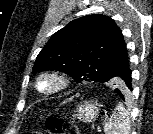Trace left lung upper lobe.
Instances as JSON below:
<instances>
[{"label":"left lung upper lobe","mask_w":153,"mask_h":134,"mask_svg":"<svg viewBox=\"0 0 153 134\" xmlns=\"http://www.w3.org/2000/svg\"><path fill=\"white\" fill-rule=\"evenodd\" d=\"M128 64L126 44L114 20L88 15L52 35L38 54L33 72L58 70L77 82L108 83L127 93L117 72Z\"/></svg>","instance_id":"5c2ea615"}]
</instances>
